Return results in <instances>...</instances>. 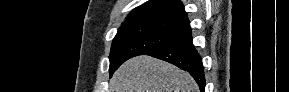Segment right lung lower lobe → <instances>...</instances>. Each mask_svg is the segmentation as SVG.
<instances>
[{
    "label": "right lung lower lobe",
    "instance_id": "98d812e1",
    "mask_svg": "<svg viewBox=\"0 0 289 92\" xmlns=\"http://www.w3.org/2000/svg\"><path fill=\"white\" fill-rule=\"evenodd\" d=\"M146 55L167 61L188 71L198 83L201 92H204L206 84L202 59L193 45L191 30L182 39L153 50Z\"/></svg>",
    "mask_w": 289,
    "mask_h": 92
}]
</instances>
